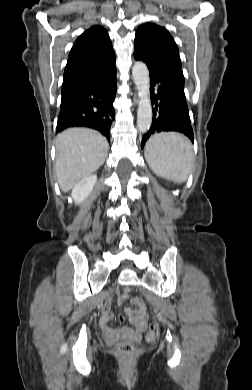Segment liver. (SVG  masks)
I'll return each instance as SVG.
<instances>
[{"instance_id": "obj_1", "label": "liver", "mask_w": 252, "mask_h": 390, "mask_svg": "<svg viewBox=\"0 0 252 390\" xmlns=\"http://www.w3.org/2000/svg\"><path fill=\"white\" fill-rule=\"evenodd\" d=\"M109 144L99 132L70 128L56 137L55 171L63 192L72 189L105 162Z\"/></svg>"}]
</instances>
